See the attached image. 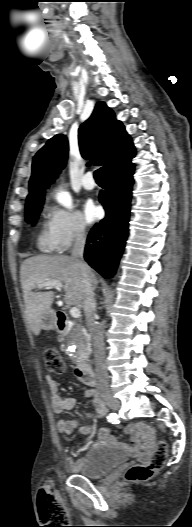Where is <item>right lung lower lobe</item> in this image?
Masks as SVG:
<instances>
[{"label": "right lung lower lobe", "instance_id": "obj_1", "mask_svg": "<svg viewBox=\"0 0 192 527\" xmlns=\"http://www.w3.org/2000/svg\"><path fill=\"white\" fill-rule=\"evenodd\" d=\"M134 156L133 149L105 172V190L100 192L99 201L106 216L94 226L87 239L85 260L105 278L115 274L128 236Z\"/></svg>", "mask_w": 192, "mask_h": 527}]
</instances>
